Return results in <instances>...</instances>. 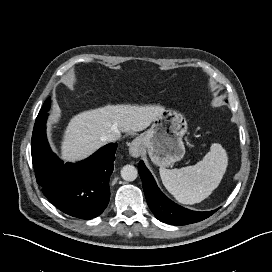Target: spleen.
<instances>
[{"label": "spleen", "instance_id": "3e777b00", "mask_svg": "<svg viewBox=\"0 0 272 272\" xmlns=\"http://www.w3.org/2000/svg\"><path fill=\"white\" fill-rule=\"evenodd\" d=\"M228 165L226 151L214 143L204 158L193 166L180 169L160 167L162 183L182 204H195L206 199L219 185Z\"/></svg>", "mask_w": 272, "mask_h": 272}]
</instances>
